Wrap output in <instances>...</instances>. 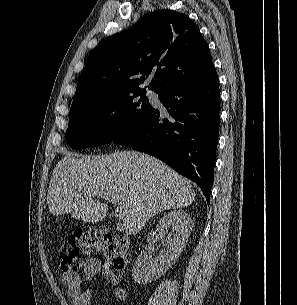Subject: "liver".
<instances>
[{"mask_svg":"<svg viewBox=\"0 0 297 305\" xmlns=\"http://www.w3.org/2000/svg\"><path fill=\"white\" fill-rule=\"evenodd\" d=\"M95 193H108L124 207L123 227L129 234H137L157 213L187 207L195 200L186 178L147 154L123 151L78 158L68 153L51 176L49 211L72 212L84 222L102 221L108 207L93 199Z\"/></svg>","mask_w":297,"mask_h":305,"instance_id":"obj_1","label":"liver"}]
</instances>
